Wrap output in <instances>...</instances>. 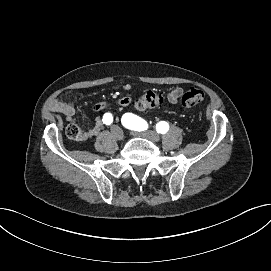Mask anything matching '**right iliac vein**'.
<instances>
[{
	"label": "right iliac vein",
	"instance_id": "right-iliac-vein-1",
	"mask_svg": "<svg viewBox=\"0 0 271 271\" xmlns=\"http://www.w3.org/2000/svg\"><path fill=\"white\" fill-rule=\"evenodd\" d=\"M111 132L116 140L120 141L124 138V133L118 126H114Z\"/></svg>",
	"mask_w": 271,
	"mask_h": 271
}]
</instances>
